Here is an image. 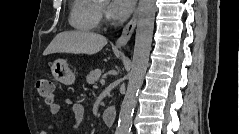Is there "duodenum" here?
I'll return each mask as SVG.
<instances>
[{
	"mask_svg": "<svg viewBox=\"0 0 239 134\" xmlns=\"http://www.w3.org/2000/svg\"><path fill=\"white\" fill-rule=\"evenodd\" d=\"M116 120V110L113 106H108L103 112V121L106 126L111 127Z\"/></svg>",
	"mask_w": 239,
	"mask_h": 134,
	"instance_id": "duodenum-1",
	"label": "duodenum"
}]
</instances>
